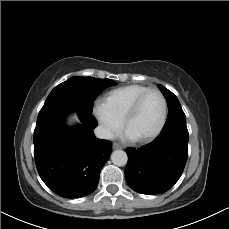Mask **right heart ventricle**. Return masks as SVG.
<instances>
[{
	"mask_svg": "<svg viewBox=\"0 0 229 229\" xmlns=\"http://www.w3.org/2000/svg\"><path fill=\"white\" fill-rule=\"evenodd\" d=\"M151 89L149 86L131 84L109 91L103 102L109 112L118 120L122 121L128 107L143 92Z\"/></svg>",
	"mask_w": 229,
	"mask_h": 229,
	"instance_id": "1",
	"label": "right heart ventricle"
}]
</instances>
